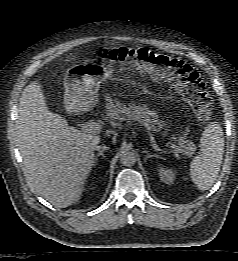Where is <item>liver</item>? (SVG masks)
I'll use <instances>...</instances> for the list:
<instances>
[{"mask_svg": "<svg viewBox=\"0 0 238 261\" xmlns=\"http://www.w3.org/2000/svg\"><path fill=\"white\" fill-rule=\"evenodd\" d=\"M18 111L17 146L27 183L55 207L71 206L80 199L94 165L100 135L70 127L49 111L37 82L23 90Z\"/></svg>", "mask_w": 238, "mask_h": 261, "instance_id": "6515ba94", "label": "liver"}]
</instances>
